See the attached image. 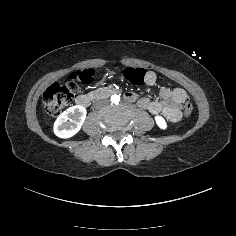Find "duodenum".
<instances>
[{
  "label": "duodenum",
  "instance_id": "duodenum-1",
  "mask_svg": "<svg viewBox=\"0 0 236 236\" xmlns=\"http://www.w3.org/2000/svg\"><path fill=\"white\" fill-rule=\"evenodd\" d=\"M113 93L114 90L111 88H99L92 93L77 96L76 104L80 107L86 108L93 100L110 96ZM125 98L128 101H134L135 95L132 93H126ZM138 104L141 108L149 109L153 114H161L172 121H176L180 117L179 100L175 95L166 99L162 103L149 102L147 99H141Z\"/></svg>",
  "mask_w": 236,
  "mask_h": 236
}]
</instances>
